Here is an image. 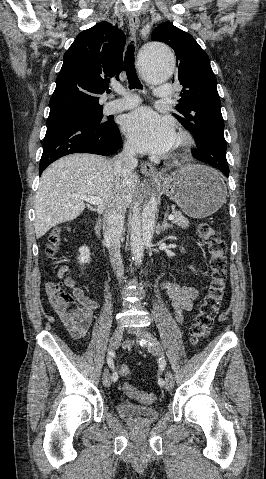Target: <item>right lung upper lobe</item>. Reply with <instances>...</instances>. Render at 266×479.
<instances>
[{"instance_id":"obj_1","label":"right lung upper lobe","mask_w":266,"mask_h":479,"mask_svg":"<svg viewBox=\"0 0 266 479\" xmlns=\"http://www.w3.org/2000/svg\"><path fill=\"white\" fill-rule=\"evenodd\" d=\"M124 45V33L106 21L78 34L64 54L49 102L50 114L102 107L99 96L108 88L111 78L119 80L123 70Z\"/></svg>"}]
</instances>
